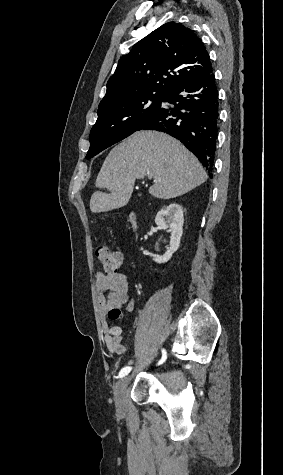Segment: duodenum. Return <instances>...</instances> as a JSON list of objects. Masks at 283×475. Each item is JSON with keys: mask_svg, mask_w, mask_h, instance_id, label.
I'll list each match as a JSON object with an SVG mask.
<instances>
[{"mask_svg": "<svg viewBox=\"0 0 283 475\" xmlns=\"http://www.w3.org/2000/svg\"><path fill=\"white\" fill-rule=\"evenodd\" d=\"M131 223H132L133 228L135 229L136 228V222H135L133 217H131Z\"/></svg>", "mask_w": 283, "mask_h": 475, "instance_id": "duodenum-1", "label": "duodenum"}]
</instances>
